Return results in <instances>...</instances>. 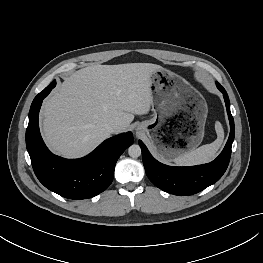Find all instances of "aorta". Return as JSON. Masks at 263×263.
Here are the masks:
<instances>
[{
	"mask_svg": "<svg viewBox=\"0 0 263 263\" xmlns=\"http://www.w3.org/2000/svg\"><path fill=\"white\" fill-rule=\"evenodd\" d=\"M128 154L132 158H137L141 155V148L137 144H133L128 148Z\"/></svg>",
	"mask_w": 263,
	"mask_h": 263,
	"instance_id": "762f6f07",
	"label": "aorta"
}]
</instances>
